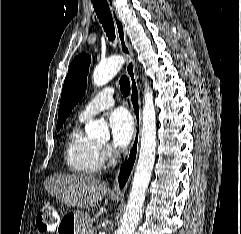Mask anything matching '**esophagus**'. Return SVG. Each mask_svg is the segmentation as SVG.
<instances>
[{"label":"esophagus","mask_w":241,"mask_h":234,"mask_svg":"<svg viewBox=\"0 0 241 234\" xmlns=\"http://www.w3.org/2000/svg\"><path fill=\"white\" fill-rule=\"evenodd\" d=\"M107 3L109 5L111 15L115 24L119 47L127 60L126 73L130 81V105L135 120V129L131 146L129 148L125 161L117 171L116 178L111 189V193L113 195L122 196L127 190L138 158L142 120L141 102L135 72V60L127 39L124 25L114 8V0H107Z\"/></svg>","instance_id":"1"}]
</instances>
